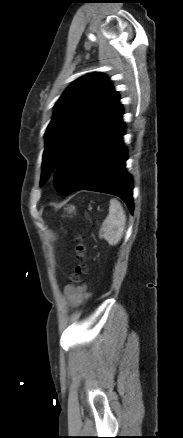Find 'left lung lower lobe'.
Returning a JSON list of instances; mask_svg holds the SVG:
<instances>
[{
  "label": "left lung lower lobe",
  "mask_w": 183,
  "mask_h": 438,
  "mask_svg": "<svg viewBox=\"0 0 183 438\" xmlns=\"http://www.w3.org/2000/svg\"><path fill=\"white\" fill-rule=\"evenodd\" d=\"M122 114L121 107L63 158L54 173L60 194L82 189L109 193L120 197L133 212V182L125 168Z\"/></svg>",
  "instance_id": "0a47b994"
}]
</instances>
